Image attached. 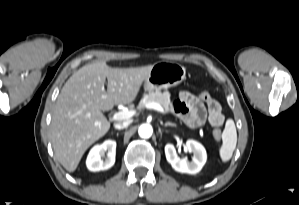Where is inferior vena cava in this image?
<instances>
[{
  "instance_id": "1",
  "label": "inferior vena cava",
  "mask_w": 299,
  "mask_h": 205,
  "mask_svg": "<svg viewBox=\"0 0 299 205\" xmlns=\"http://www.w3.org/2000/svg\"><path fill=\"white\" fill-rule=\"evenodd\" d=\"M130 123H131L130 120L118 122V123L114 124V127H115V129L120 130V129L126 128Z\"/></svg>"
}]
</instances>
